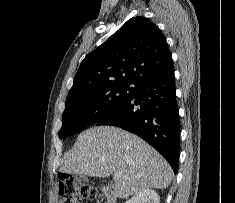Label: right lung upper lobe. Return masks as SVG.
I'll list each match as a JSON object with an SVG mask.
<instances>
[{"mask_svg": "<svg viewBox=\"0 0 235 203\" xmlns=\"http://www.w3.org/2000/svg\"><path fill=\"white\" fill-rule=\"evenodd\" d=\"M170 65L171 53L158 27L147 18L133 17L84 58L69 93L105 81L139 83Z\"/></svg>", "mask_w": 235, "mask_h": 203, "instance_id": "1", "label": "right lung upper lobe"}]
</instances>
